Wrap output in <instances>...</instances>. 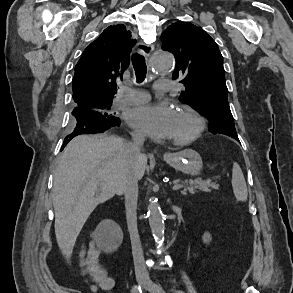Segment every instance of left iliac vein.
<instances>
[{"label": "left iliac vein", "instance_id": "left-iliac-vein-1", "mask_svg": "<svg viewBox=\"0 0 293 293\" xmlns=\"http://www.w3.org/2000/svg\"><path fill=\"white\" fill-rule=\"evenodd\" d=\"M145 287L150 293H164L162 288L154 284L148 276H146Z\"/></svg>", "mask_w": 293, "mask_h": 293}]
</instances>
